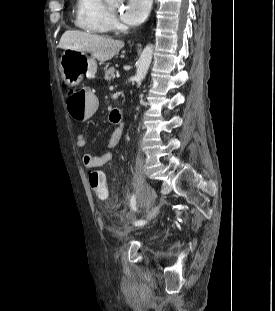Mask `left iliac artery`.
I'll return each instance as SVG.
<instances>
[{
    "label": "left iliac artery",
    "instance_id": "left-iliac-artery-1",
    "mask_svg": "<svg viewBox=\"0 0 275 311\" xmlns=\"http://www.w3.org/2000/svg\"><path fill=\"white\" fill-rule=\"evenodd\" d=\"M130 207L133 211H137V207H136V200H135V195L133 194L131 199H130ZM144 223V221L139 220V221H134V225H142Z\"/></svg>",
    "mask_w": 275,
    "mask_h": 311
}]
</instances>
